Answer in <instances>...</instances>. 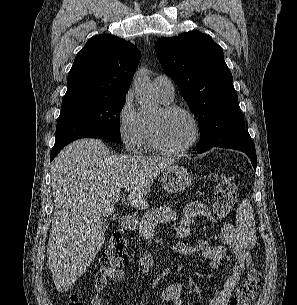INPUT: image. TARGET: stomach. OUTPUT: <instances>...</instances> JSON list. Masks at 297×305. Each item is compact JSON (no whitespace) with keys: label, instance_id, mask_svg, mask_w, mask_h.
Here are the masks:
<instances>
[{"label":"stomach","instance_id":"stomach-1","mask_svg":"<svg viewBox=\"0 0 297 305\" xmlns=\"http://www.w3.org/2000/svg\"><path fill=\"white\" fill-rule=\"evenodd\" d=\"M192 177L189 171L180 165H171L161 175L162 187L168 193L182 192L191 184Z\"/></svg>","mask_w":297,"mask_h":305}]
</instances>
